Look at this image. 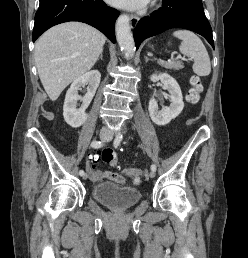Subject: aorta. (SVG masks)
<instances>
[{"instance_id": "1", "label": "aorta", "mask_w": 248, "mask_h": 258, "mask_svg": "<svg viewBox=\"0 0 248 258\" xmlns=\"http://www.w3.org/2000/svg\"><path fill=\"white\" fill-rule=\"evenodd\" d=\"M128 15H121L116 21L115 31L118 44L126 55L132 57L135 51V43L131 33Z\"/></svg>"}]
</instances>
